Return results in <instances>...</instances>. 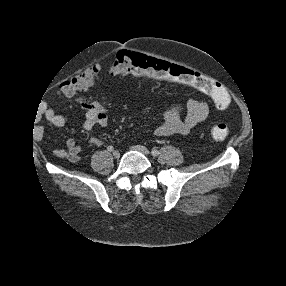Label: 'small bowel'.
<instances>
[{
	"label": "small bowel",
	"mask_w": 286,
	"mask_h": 286,
	"mask_svg": "<svg viewBox=\"0 0 286 286\" xmlns=\"http://www.w3.org/2000/svg\"><path fill=\"white\" fill-rule=\"evenodd\" d=\"M178 82L194 86L183 81ZM82 108L85 110L84 129L90 130L95 126H107L108 116L99 102L85 101L82 103ZM208 113L209 107L205 101L190 97L185 107L177 106L165 112L164 121L156 127L155 134L161 137L188 134L207 118ZM45 117L54 126H63L68 121L66 116L51 108L45 112ZM89 143L94 146H101L103 140L94 136L89 139ZM55 154L59 157H66L70 162L75 163L80 160L81 148L74 139L70 138L66 141V150H57Z\"/></svg>",
	"instance_id": "c3829d8e"
}]
</instances>
